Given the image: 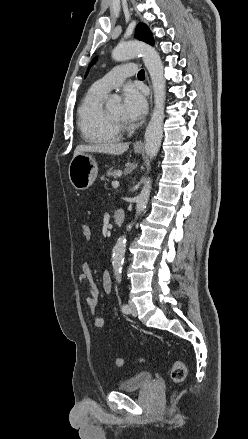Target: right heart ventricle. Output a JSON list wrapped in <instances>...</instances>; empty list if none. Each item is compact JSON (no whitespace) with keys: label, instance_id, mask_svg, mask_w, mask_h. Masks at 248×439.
Returning <instances> with one entry per match:
<instances>
[{"label":"right heart ventricle","instance_id":"e07e8e85","mask_svg":"<svg viewBox=\"0 0 248 439\" xmlns=\"http://www.w3.org/2000/svg\"><path fill=\"white\" fill-rule=\"evenodd\" d=\"M105 94L94 92L91 88L83 97L77 110V124L83 139L92 144L117 142L121 132L113 130L103 117L102 102Z\"/></svg>","mask_w":248,"mask_h":439}]
</instances>
